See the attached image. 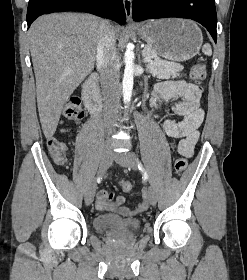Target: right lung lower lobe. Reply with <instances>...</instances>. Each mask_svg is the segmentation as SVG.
<instances>
[{
  "label": "right lung lower lobe",
  "instance_id": "98d812e1",
  "mask_svg": "<svg viewBox=\"0 0 247 280\" xmlns=\"http://www.w3.org/2000/svg\"><path fill=\"white\" fill-rule=\"evenodd\" d=\"M83 11L110 18L120 24L125 22L122 0H29L27 25L40 15L50 12Z\"/></svg>",
  "mask_w": 247,
  "mask_h": 280
}]
</instances>
